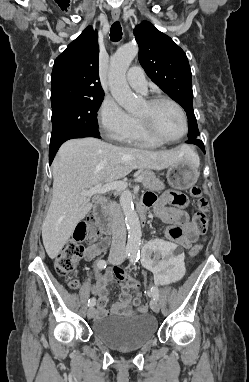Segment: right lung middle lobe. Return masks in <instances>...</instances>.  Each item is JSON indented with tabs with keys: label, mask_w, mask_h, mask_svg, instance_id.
Returning <instances> with one entry per match:
<instances>
[{
	"label": "right lung middle lobe",
	"mask_w": 249,
	"mask_h": 382,
	"mask_svg": "<svg viewBox=\"0 0 249 382\" xmlns=\"http://www.w3.org/2000/svg\"><path fill=\"white\" fill-rule=\"evenodd\" d=\"M103 99L99 96L52 105L51 140L75 131H98L96 115Z\"/></svg>",
	"instance_id": "dd1d6c3e"
}]
</instances>
